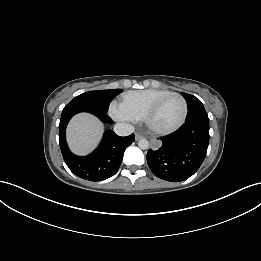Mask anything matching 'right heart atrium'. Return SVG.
I'll return each mask as SVG.
<instances>
[{"label": "right heart atrium", "mask_w": 261, "mask_h": 261, "mask_svg": "<svg viewBox=\"0 0 261 261\" xmlns=\"http://www.w3.org/2000/svg\"><path fill=\"white\" fill-rule=\"evenodd\" d=\"M112 118L118 121H132V119L122 110L120 105L112 104L109 108Z\"/></svg>", "instance_id": "right-heart-atrium-1"}]
</instances>
